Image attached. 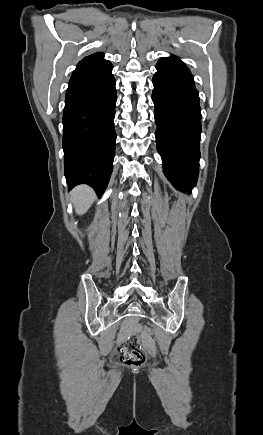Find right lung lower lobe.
<instances>
[{
  "instance_id": "right-lung-lower-lobe-1",
  "label": "right lung lower lobe",
  "mask_w": 263,
  "mask_h": 435,
  "mask_svg": "<svg viewBox=\"0 0 263 435\" xmlns=\"http://www.w3.org/2000/svg\"><path fill=\"white\" fill-rule=\"evenodd\" d=\"M112 64L72 74L63 113L65 177L72 189L86 183L102 196L115 155L117 100Z\"/></svg>"
}]
</instances>
